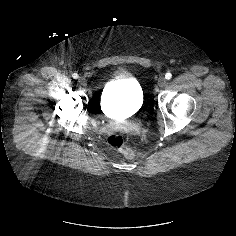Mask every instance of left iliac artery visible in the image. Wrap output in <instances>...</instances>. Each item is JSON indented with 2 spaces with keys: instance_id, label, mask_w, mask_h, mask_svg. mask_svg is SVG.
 <instances>
[{
  "instance_id": "1",
  "label": "left iliac artery",
  "mask_w": 236,
  "mask_h": 236,
  "mask_svg": "<svg viewBox=\"0 0 236 236\" xmlns=\"http://www.w3.org/2000/svg\"><path fill=\"white\" fill-rule=\"evenodd\" d=\"M171 77H172V74H171V73H166L165 78H166L167 80L171 79Z\"/></svg>"
}]
</instances>
